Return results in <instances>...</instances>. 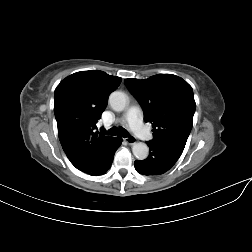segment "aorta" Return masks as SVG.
Listing matches in <instances>:
<instances>
[{
  "mask_svg": "<svg viewBox=\"0 0 252 252\" xmlns=\"http://www.w3.org/2000/svg\"><path fill=\"white\" fill-rule=\"evenodd\" d=\"M109 104L114 111H123L127 105V96L123 92L114 91L109 96ZM132 152L137 159L143 160L148 157L149 148L146 143L137 142L133 144Z\"/></svg>",
  "mask_w": 252,
  "mask_h": 252,
  "instance_id": "obj_1",
  "label": "aorta"
}]
</instances>
